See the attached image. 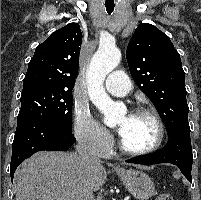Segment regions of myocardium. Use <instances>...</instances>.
<instances>
[{"label": "myocardium", "instance_id": "obj_1", "mask_svg": "<svg viewBox=\"0 0 201 200\" xmlns=\"http://www.w3.org/2000/svg\"><path fill=\"white\" fill-rule=\"evenodd\" d=\"M130 114L147 115V116L151 117L157 125L158 137H157V140L155 141V143L153 145H151L150 147H148L146 149H142V150H135V149L129 148L125 144V142L123 141V139L120 135L119 140H118V145H119L120 150L126 154L135 155V156H143V155H148V154H152V153L156 152L163 145L165 137H166L165 125H164L161 117L158 115V113L156 111H154L148 107H145V106L134 107L130 111Z\"/></svg>", "mask_w": 201, "mask_h": 200}]
</instances>
